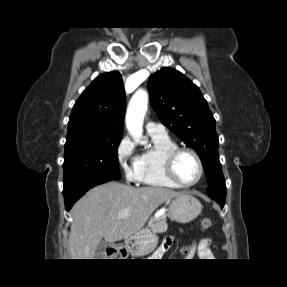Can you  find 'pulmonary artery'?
<instances>
[{"label":"pulmonary artery","mask_w":287,"mask_h":287,"mask_svg":"<svg viewBox=\"0 0 287 287\" xmlns=\"http://www.w3.org/2000/svg\"><path fill=\"white\" fill-rule=\"evenodd\" d=\"M146 130H147L149 135L167 136L166 127L161 123L149 121L146 124Z\"/></svg>","instance_id":"obj_1"}]
</instances>
